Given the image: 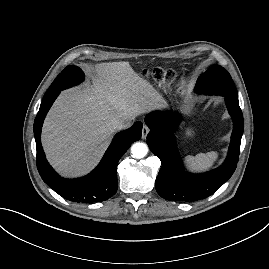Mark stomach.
Here are the masks:
<instances>
[{
  "mask_svg": "<svg viewBox=\"0 0 269 269\" xmlns=\"http://www.w3.org/2000/svg\"><path fill=\"white\" fill-rule=\"evenodd\" d=\"M186 134H187L188 136H191V135H192V131H191V130H187Z\"/></svg>",
  "mask_w": 269,
  "mask_h": 269,
  "instance_id": "0dacf381",
  "label": "stomach"
}]
</instances>
